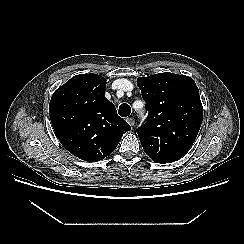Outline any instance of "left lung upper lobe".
<instances>
[{"mask_svg":"<svg viewBox=\"0 0 244 244\" xmlns=\"http://www.w3.org/2000/svg\"><path fill=\"white\" fill-rule=\"evenodd\" d=\"M148 113L137 133L145 153L157 163H171L184 156L199 132L203 107L192 78L174 73L139 77Z\"/></svg>","mask_w":244,"mask_h":244,"instance_id":"left-lung-upper-lobe-1","label":"left lung upper lobe"}]
</instances>
